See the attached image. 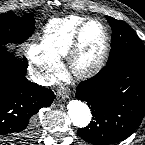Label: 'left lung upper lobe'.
I'll use <instances>...</instances> for the list:
<instances>
[{
	"instance_id": "left-lung-upper-lobe-1",
	"label": "left lung upper lobe",
	"mask_w": 145,
	"mask_h": 145,
	"mask_svg": "<svg viewBox=\"0 0 145 145\" xmlns=\"http://www.w3.org/2000/svg\"><path fill=\"white\" fill-rule=\"evenodd\" d=\"M112 27V42L107 65L123 61L145 64V46L133 29L124 21L106 16Z\"/></svg>"
}]
</instances>
